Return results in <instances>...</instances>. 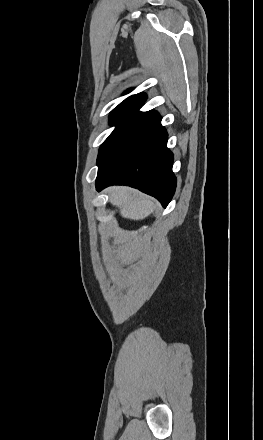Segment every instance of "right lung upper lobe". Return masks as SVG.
Wrapping results in <instances>:
<instances>
[{"instance_id":"right-lung-upper-lobe-1","label":"right lung upper lobe","mask_w":263,"mask_h":440,"mask_svg":"<svg viewBox=\"0 0 263 440\" xmlns=\"http://www.w3.org/2000/svg\"><path fill=\"white\" fill-rule=\"evenodd\" d=\"M147 96L144 93L132 95L121 102L115 109L121 108H140L146 101Z\"/></svg>"}]
</instances>
